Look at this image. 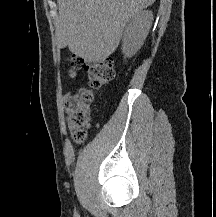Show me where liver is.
I'll return each instance as SVG.
<instances>
[{
    "label": "liver",
    "mask_w": 216,
    "mask_h": 217,
    "mask_svg": "<svg viewBox=\"0 0 216 217\" xmlns=\"http://www.w3.org/2000/svg\"><path fill=\"white\" fill-rule=\"evenodd\" d=\"M56 37L60 48L86 62H99L118 47L132 16L155 0H58Z\"/></svg>",
    "instance_id": "liver-1"
}]
</instances>
